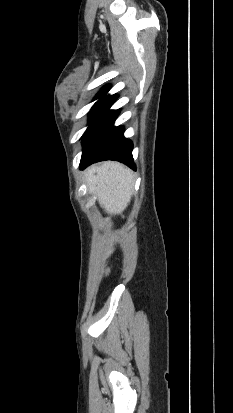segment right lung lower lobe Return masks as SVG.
<instances>
[{"label":"right lung lower lobe","mask_w":233,"mask_h":413,"mask_svg":"<svg viewBox=\"0 0 233 413\" xmlns=\"http://www.w3.org/2000/svg\"><path fill=\"white\" fill-rule=\"evenodd\" d=\"M115 100L114 95L105 96L93 113L82 138L81 169L103 160H117L135 169L132 158L133 144L129 139L124 138V127L113 125L119 110H109V108Z\"/></svg>","instance_id":"98d812e1"}]
</instances>
